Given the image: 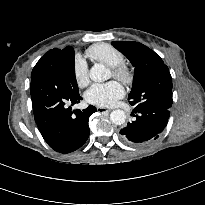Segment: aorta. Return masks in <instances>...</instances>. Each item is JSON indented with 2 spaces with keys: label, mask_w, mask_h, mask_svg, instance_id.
Wrapping results in <instances>:
<instances>
[{
  "label": "aorta",
  "mask_w": 205,
  "mask_h": 205,
  "mask_svg": "<svg viewBox=\"0 0 205 205\" xmlns=\"http://www.w3.org/2000/svg\"><path fill=\"white\" fill-rule=\"evenodd\" d=\"M89 77L94 82H102L110 78V73L103 64H95L89 71ZM110 120L115 125H122L126 121V114L123 110H114L110 114Z\"/></svg>",
  "instance_id": "aorta-1"
}]
</instances>
